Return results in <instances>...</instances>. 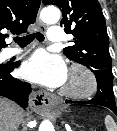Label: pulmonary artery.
<instances>
[{
    "instance_id": "pulmonary-artery-1",
    "label": "pulmonary artery",
    "mask_w": 117,
    "mask_h": 131,
    "mask_svg": "<svg viewBox=\"0 0 117 131\" xmlns=\"http://www.w3.org/2000/svg\"><path fill=\"white\" fill-rule=\"evenodd\" d=\"M47 37L50 42H60L62 40V29L59 26L50 27ZM17 53H19V50L17 49H11L9 51L10 56H13Z\"/></svg>"
}]
</instances>
